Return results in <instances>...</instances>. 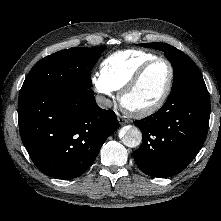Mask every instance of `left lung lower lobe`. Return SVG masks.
I'll list each match as a JSON object with an SVG mask.
<instances>
[{
  "mask_svg": "<svg viewBox=\"0 0 221 221\" xmlns=\"http://www.w3.org/2000/svg\"><path fill=\"white\" fill-rule=\"evenodd\" d=\"M209 117L207 88L171 94L159 111L134 122L143 135L141 147L134 152L137 166L161 178L183 171L206 139Z\"/></svg>",
  "mask_w": 221,
  "mask_h": 221,
  "instance_id": "0a47b994",
  "label": "left lung lower lobe"
}]
</instances>
